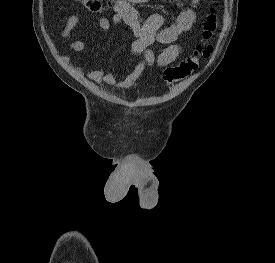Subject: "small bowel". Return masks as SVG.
Returning a JSON list of instances; mask_svg holds the SVG:
<instances>
[{"instance_id":"obj_1","label":"small bowel","mask_w":275,"mask_h":263,"mask_svg":"<svg viewBox=\"0 0 275 263\" xmlns=\"http://www.w3.org/2000/svg\"><path fill=\"white\" fill-rule=\"evenodd\" d=\"M149 0H116L113 6L114 15L112 18L102 17L99 25L104 34H107L112 27L125 26L132 30L133 40L131 52L140 55V59L133 71L124 79H119L120 73L105 69L85 71L81 66L74 64L67 55L61 59L69 65L77 74L83 75L98 84L129 89L135 87L144 75L147 68L152 66L165 67L173 63L182 53L183 46L177 41L182 34L188 32L195 20V9L200 0H191V6L183 10L176 21L168 26H163L164 15L161 12L152 13L146 19H142L135 8V4L145 3ZM78 15L69 17L62 28V38L68 40L71 32L78 23ZM154 43L167 45V47L156 56L148 47ZM68 47L75 52H84L86 44L80 40L70 41Z\"/></svg>"}]
</instances>
